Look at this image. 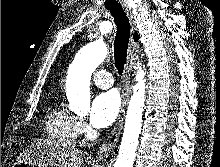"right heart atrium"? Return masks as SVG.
I'll return each mask as SVG.
<instances>
[{"label": "right heart atrium", "instance_id": "obj_1", "mask_svg": "<svg viewBox=\"0 0 220 167\" xmlns=\"http://www.w3.org/2000/svg\"><path fill=\"white\" fill-rule=\"evenodd\" d=\"M74 124L78 135H86L89 132L88 125L82 118L75 116Z\"/></svg>", "mask_w": 220, "mask_h": 167}]
</instances>
